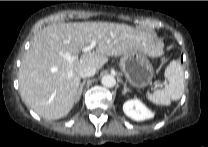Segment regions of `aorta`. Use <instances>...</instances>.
I'll return each mask as SVG.
<instances>
[{"instance_id": "aorta-1", "label": "aorta", "mask_w": 208, "mask_h": 147, "mask_svg": "<svg viewBox=\"0 0 208 147\" xmlns=\"http://www.w3.org/2000/svg\"><path fill=\"white\" fill-rule=\"evenodd\" d=\"M101 83H102L103 86L111 88V87L115 86L116 80L111 75H105V76L102 77Z\"/></svg>"}]
</instances>
